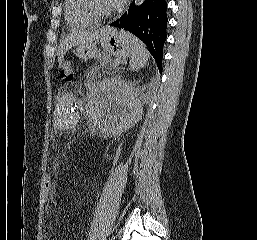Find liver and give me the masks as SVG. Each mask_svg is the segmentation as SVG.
Wrapping results in <instances>:
<instances>
[{
  "label": "liver",
  "instance_id": "6515ba94",
  "mask_svg": "<svg viewBox=\"0 0 257 240\" xmlns=\"http://www.w3.org/2000/svg\"><path fill=\"white\" fill-rule=\"evenodd\" d=\"M107 27L97 29L95 31H85L78 34H70L66 36L58 47V60L61 65L65 53L72 47L79 45H89L98 41L105 33Z\"/></svg>",
  "mask_w": 257,
  "mask_h": 240
}]
</instances>
